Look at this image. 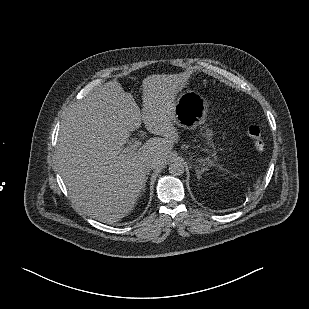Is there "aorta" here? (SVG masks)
Masks as SVG:
<instances>
[{"mask_svg": "<svg viewBox=\"0 0 309 309\" xmlns=\"http://www.w3.org/2000/svg\"><path fill=\"white\" fill-rule=\"evenodd\" d=\"M185 165L183 160L176 159L169 165V173L174 176H180L184 173Z\"/></svg>", "mask_w": 309, "mask_h": 309, "instance_id": "aorta-1", "label": "aorta"}]
</instances>
